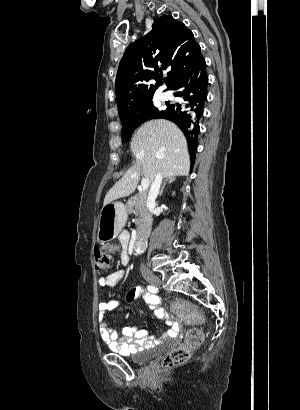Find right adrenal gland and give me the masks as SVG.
Returning a JSON list of instances; mask_svg holds the SVG:
<instances>
[{
	"label": "right adrenal gland",
	"mask_w": 300,
	"mask_h": 410,
	"mask_svg": "<svg viewBox=\"0 0 300 410\" xmlns=\"http://www.w3.org/2000/svg\"><path fill=\"white\" fill-rule=\"evenodd\" d=\"M173 181H175V177H173V176L167 177V178L164 180V182H163V184H162V186H161L160 192H159V196H161V195L163 194V190H164V188H165L166 183L168 182L169 184H171Z\"/></svg>",
	"instance_id": "obj_1"
}]
</instances>
